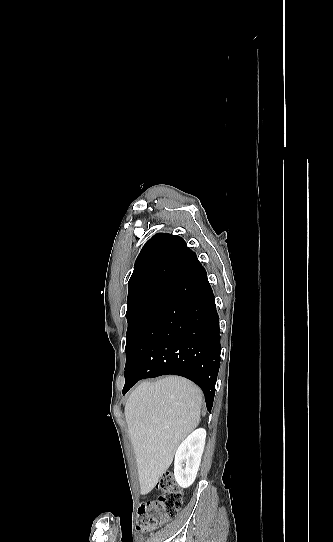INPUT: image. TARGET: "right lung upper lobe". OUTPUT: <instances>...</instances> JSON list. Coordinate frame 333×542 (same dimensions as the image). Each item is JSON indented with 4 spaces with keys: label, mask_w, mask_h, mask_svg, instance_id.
<instances>
[{
    "label": "right lung upper lobe",
    "mask_w": 333,
    "mask_h": 542,
    "mask_svg": "<svg viewBox=\"0 0 333 542\" xmlns=\"http://www.w3.org/2000/svg\"><path fill=\"white\" fill-rule=\"evenodd\" d=\"M174 249L192 252L182 238L170 234H156L144 245L129 280L127 308L167 294L189 274L165 261V253Z\"/></svg>",
    "instance_id": "right-lung-upper-lobe-1"
}]
</instances>
